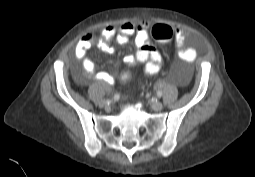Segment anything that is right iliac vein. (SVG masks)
Wrapping results in <instances>:
<instances>
[{"mask_svg":"<svg viewBox=\"0 0 255 177\" xmlns=\"http://www.w3.org/2000/svg\"><path fill=\"white\" fill-rule=\"evenodd\" d=\"M99 105H100L101 107H107V106L109 105V102H108L107 100H101V101L99 102Z\"/></svg>","mask_w":255,"mask_h":177,"instance_id":"63e3f726","label":"right iliac vein"}]
</instances>
